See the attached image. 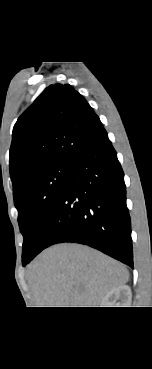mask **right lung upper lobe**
Listing matches in <instances>:
<instances>
[{"mask_svg":"<svg viewBox=\"0 0 152 369\" xmlns=\"http://www.w3.org/2000/svg\"><path fill=\"white\" fill-rule=\"evenodd\" d=\"M104 132L99 117L71 85L47 87L13 128L9 162L13 193L31 173L70 163Z\"/></svg>","mask_w":152,"mask_h":369,"instance_id":"right-lung-upper-lobe-1","label":"right lung upper lobe"}]
</instances>
